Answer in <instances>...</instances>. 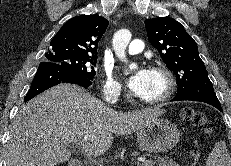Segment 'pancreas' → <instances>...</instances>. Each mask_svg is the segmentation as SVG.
Masks as SVG:
<instances>
[{
  "label": "pancreas",
  "mask_w": 231,
  "mask_h": 166,
  "mask_svg": "<svg viewBox=\"0 0 231 166\" xmlns=\"http://www.w3.org/2000/svg\"><path fill=\"white\" fill-rule=\"evenodd\" d=\"M155 164H157L158 166H179L172 159H168L166 157L165 158H159L155 161L147 160L145 163H142L141 166H154Z\"/></svg>",
  "instance_id": "cf45deb5"
}]
</instances>
